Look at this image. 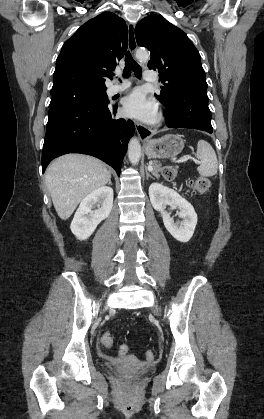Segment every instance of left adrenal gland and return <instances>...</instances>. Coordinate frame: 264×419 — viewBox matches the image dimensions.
Returning a JSON list of instances; mask_svg holds the SVG:
<instances>
[{
	"label": "left adrenal gland",
	"instance_id": "1",
	"mask_svg": "<svg viewBox=\"0 0 264 419\" xmlns=\"http://www.w3.org/2000/svg\"><path fill=\"white\" fill-rule=\"evenodd\" d=\"M150 165H151V163H150ZM149 177L153 179V177L150 175L149 171L146 170V178L148 179Z\"/></svg>",
	"mask_w": 264,
	"mask_h": 419
}]
</instances>
